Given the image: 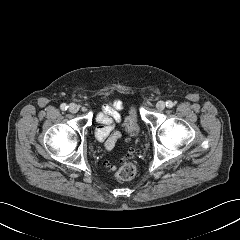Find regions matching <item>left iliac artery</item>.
<instances>
[{"instance_id":"left-iliac-artery-1","label":"left iliac artery","mask_w":240,"mask_h":240,"mask_svg":"<svg viewBox=\"0 0 240 240\" xmlns=\"http://www.w3.org/2000/svg\"><path fill=\"white\" fill-rule=\"evenodd\" d=\"M173 105H174L173 102L170 101V100L166 102V106H167L168 108H172Z\"/></svg>"}]
</instances>
